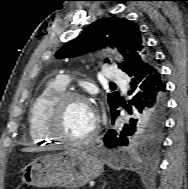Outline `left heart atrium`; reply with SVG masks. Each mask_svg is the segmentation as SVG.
Masks as SVG:
<instances>
[{
  "mask_svg": "<svg viewBox=\"0 0 188 189\" xmlns=\"http://www.w3.org/2000/svg\"><path fill=\"white\" fill-rule=\"evenodd\" d=\"M92 114H93L94 118L97 119V113H96L95 109H92Z\"/></svg>",
  "mask_w": 188,
  "mask_h": 189,
  "instance_id": "1",
  "label": "left heart atrium"
}]
</instances>
